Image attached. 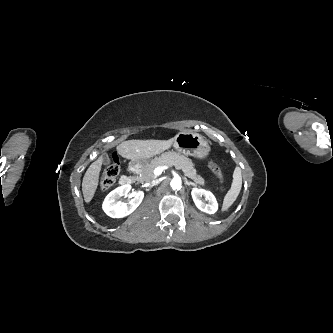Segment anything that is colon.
<instances>
[{
    "label": "colon",
    "instance_id": "5ec220e1",
    "mask_svg": "<svg viewBox=\"0 0 333 333\" xmlns=\"http://www.w3.org/2000/svg\"><path fill=\"white\" fill-rule=\"evenodd\" d=\"M208 167L223 184V173L219 165L214 161H209ZM118 173H119V159L118 157L115 156L112 158L111 163L104 169L101 175L100 188L102 190L110 188L114 184Z\"/></svg>",
    "mask_w": 333,
    "mask_h": 333
}]
</instances>
